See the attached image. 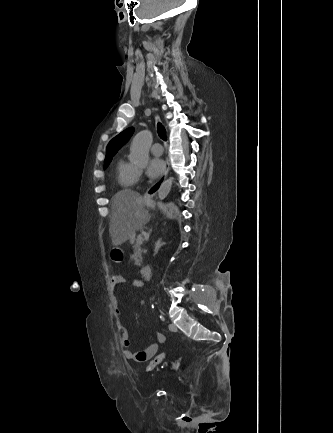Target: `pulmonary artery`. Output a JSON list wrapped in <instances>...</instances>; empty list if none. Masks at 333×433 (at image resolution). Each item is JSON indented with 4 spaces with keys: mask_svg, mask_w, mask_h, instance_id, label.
<instances>
[{
    "mask_svg": "<svg viewBox=\"0 0 333 433\" xmlns=\"http://www.w3.org/2000/svg\"><path fill=\"white\" fill-rule=\"evenodd\" d=\"M151 153L154 156H161L162 153H163V147H162V145L160 143L153 144L152 147H151Z\"/></svg>",
    "mask_w": 333,
    "mask_h": 433,
    "instance_id": "e3ab8cb5",
    "label": "pulmonary artery"
}]
</instances>
